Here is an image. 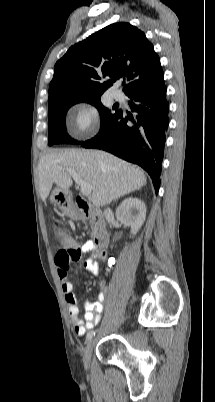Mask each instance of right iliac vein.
Listing matches in <instances>:
<instances>
[{
    "instance_id": "1",
    "label": "right iliac vein",
    "mask_w": 215,
    "mask_h": 402,
    "mask_svg": "<svg viewBox=\"0 0 215 402\" xmlns=\"http://www.w3.org/2000/svg\"><path fill=\"white\" fill-rule=\"evenodd\" d=\"M95 343H96V339H90V341L88 342V344L84 350L83 363H84V366L86 369L89 366L90 358L92 355V351L95 347Z\"/></svg>"
}]
</instances>
